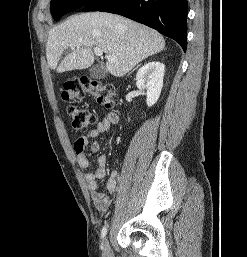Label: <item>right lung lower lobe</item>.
<instances>
[{
  "instance_id": "obj_1",
  "label": "right lung lower lobe",
  "mask_w": 247,
  "mask_h": 257,
  "mask_svg": "<svg viewBox=\"0 0 247 257\" xmlns=\"http://www.w3.org/2000/svg\"><path fill=\"white\" fill-rule=\"evenodd\" d=\"M83 11L125 16L174 39L186 51L187 0H93Z\"/></svg>"
}]
</instances>
